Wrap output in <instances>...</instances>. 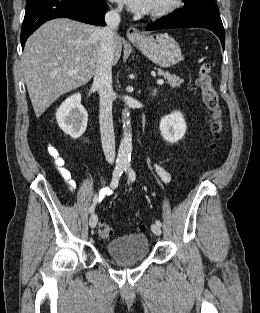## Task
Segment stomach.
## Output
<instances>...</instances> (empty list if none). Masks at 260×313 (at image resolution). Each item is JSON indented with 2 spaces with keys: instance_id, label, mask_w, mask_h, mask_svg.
<instances>
[{
  "instance_id": "obj_1",
  "label": "stomach",
  "mask_w": 260,
  "mask_h": 313,
  "mask_svg": "<svg viewBox=\"0 0 260 313\" xmlns=\"http://www.w3.org/2000/svg\"><path fill=\"white\" fill-rule=\"evenodd\" d=\"M132 43L153 63L163 68L176 65L182 57L176 40L167 33L144 35Z\"/></svg>"
}]
</instances>
